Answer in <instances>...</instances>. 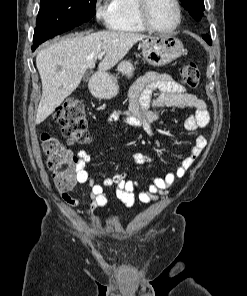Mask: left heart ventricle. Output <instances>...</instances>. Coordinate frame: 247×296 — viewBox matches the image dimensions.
Instances as JSON below:
<instances>
[{
    "mask_svg": "<svg viewBox=\"0 0 247 296\" xmlns=\"http://www.w3.org/2000/svg\"><path fill=\"white\" fill-rule=\"evenodd\" d=\"M148 15L152 24L161 29L173 26L177 17L172 0H150Z\"/></svg>",
    "mask_w": 247,
    "mask_h": 296,
    "instance_id": "1",
    "label": "left heart ventricle"
}]
</instances>
